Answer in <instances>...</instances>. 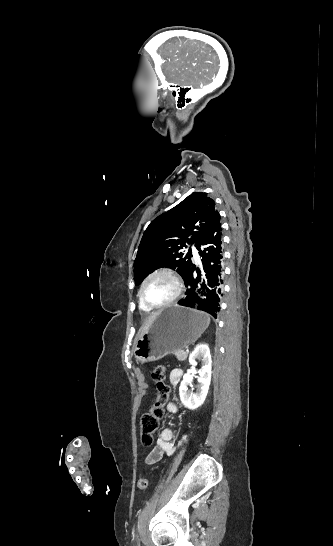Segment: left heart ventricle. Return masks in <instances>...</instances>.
Here are the masks:
<instances>
[{
	"label": "left heart ventricle",
	"instance_id": "left-heart-ventricle-1",
	"mask_svg": "<svg viewBox=\"0 0 333 546\" xmlns=\"http://www.w3.org/2000/svg\"><path fill=\"white\" fill-rule=\"evenodd\" d=\"M175 291L176 285L169 276L158 275L148 282L144 294L151 304L158 305L172 298Z\"/></svg>",
	"mask_w": 333,
	"mask_h": 546
}]
</instances>
